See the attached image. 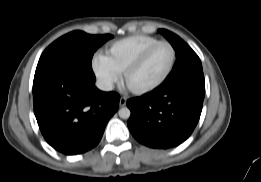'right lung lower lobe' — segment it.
<instances>
[{
	"label": "right lung lower lobe",
	"instance_id": "98d812e1",
	"mask_svg": "<svg viewBox=\"0 0 261 182\" xmlns=\"http://www.w3.org/2000/svg\"><path fill=\"white\" fill-rule=\"evenodd\" d=\"M71 63L35 74L34 113L39 128L55 150L80 154L95 147L119 106V95L102 92Z\"/></svg>",
	"mask_w": 261,
	"mask_h": 182
}]
</instances>
